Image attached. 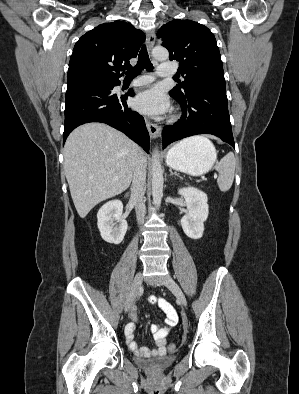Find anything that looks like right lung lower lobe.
Here are the masks:
<instances>
[{
	"mask_svg": "<svg viewBox=\"0 0 299 394\" xmlns=\"http://www.w3.org/2000/svg\"><path fill=\"white\" fill-rule=\"evenodd\" d=\"M119 84V80L96 81L67 88L63 142L77 126L102 122L122 131L149 152L150 137L143 117L128 108L127 94L112 92ZM128 95L134 96L132 89Z\"/></svg>",
	"mask_w": 299,
	"mask_h": 394,
	"instance_id": "98d812e1",
	"label": "right lung lower lobe"
}]
</instances>
